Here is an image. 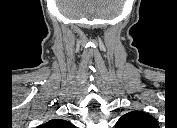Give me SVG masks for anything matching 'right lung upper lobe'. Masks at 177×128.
Returning a JSON list of instances; mask_svg holds the SVG:
<instances>
[{"instance_id": "cb5924a9", "label": "right lung upper lobe", "mask_w": 177, "mask_h": 128, "mask_svg": "<svg viewBox=\"0 0 177 128\" xmlns=\"http://www.w3.org/2000/svg\"><path fill=\"white\" fill-rule=\"evenodd\" d=\"M41 128H74L75 126L66 120L52 119L40 126Z\"/></svg>"}]
</instances>
